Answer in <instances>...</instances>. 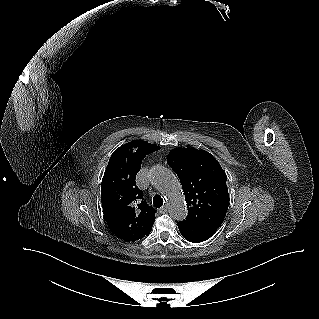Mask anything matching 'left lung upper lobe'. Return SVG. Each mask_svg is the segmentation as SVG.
<instances>
[{"mask_svg":"<svg viewBox=\"0 0 319 319\" xmlns=\"http://www.w3.org/2000/svg\"><path fill=\"white\" fill-rule=\"evenodd\" d=\"M168 165L178 175L188 206L187 221L219 228L229 204L227 176L219 162L207 151L173 149Z\"/></svg>","mask_w":319,"mask_h":319,"instance_id":"left-lung-upper-lobe-1","label":"left lung upper lobe"}]
</instances>
